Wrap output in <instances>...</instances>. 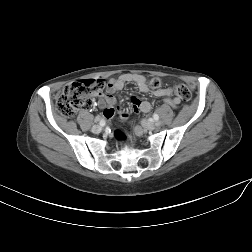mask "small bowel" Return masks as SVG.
Returning a JSON list of instances; mask_svg holds the SVG:
<instances>
[{"mask_svg": "<svg viewBox=\"0 0 252 252\" xmlns=\"http://www.w3.org/2000/svg\"><path fill=\"white\" fill-rule=\"evenodd\" d=\"M133 83L137 86L141 93H148L150 91L145 77L141 74L136 73H124L117 78L110 79L106 86L107 94L97 95L99 97L97 105L99 108L103 109V114L105 118H111L115 113V107L117 105V100L113 96V93L120 91L124 88L126 84ZM156 97H168L166 103L174 108L180 104V99L178 97H170L171 90L168 88H160L153 92ZM133 108L136 111L147 113L151 109V104L148 101H142L138 98L132 99ZM122 118V112L120 113ZM127 118V116H126ZM125 119V118H122Z\"/></svg>", "mask_w": 252, "mask_h": 252, "instance_id": "obj_1", "label": "small bowel"}]
</instances>
